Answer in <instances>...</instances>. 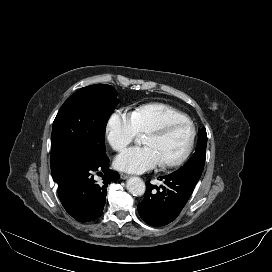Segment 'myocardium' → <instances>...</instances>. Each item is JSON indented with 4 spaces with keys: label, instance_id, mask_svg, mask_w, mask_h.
<instances>
[{
    "label": "myocardium",
    "instance_id": "myocardium-1",
    "mask_svg": "<svg viewBox=\"0 0 272 272\" xmlns=\"http://www.w3.org/2000/svg\"><path fill=\"white\" fill-rule=\"evenodd\" d=\"M182 126H186L190 131L189 143H188L185 151L182 153V155L180 157H178L175 160L169 161V162H162L161 163L162 167H165V168L178 167V166L182 165L189 158V156L191 155V153L194 149V145H195V141H196V134H197L196 128H195L193 122L190 120H172V121H168V122H166L156 128H153L146 133V135L165 136V135L169 134L172 130H174L178 127H182Z\"/></svg>",
    "mask_w": 272,
    "mask_h": 272
}]
</instances>
